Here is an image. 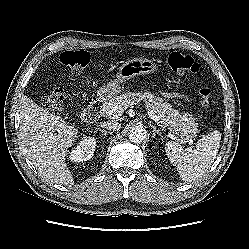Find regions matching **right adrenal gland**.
<instances>
[{
    "instance_id": "right-adrenal-gland-1",
    "label": "right adrenal gland",
    "mask_w": 249,
    "mask_h": 249,
    "mask_svg": "<svg viewBox=\"0 0 249 249\" xmlns=\"http://www.w3.org/2000/svg\"><path fill=\"white\" fill-rule=\"evenodd\" d=\"M98 131L102 132L105 136L108 135V134H111V132H107L101 128H96Z\"/></svg>"
}]
</instances>
